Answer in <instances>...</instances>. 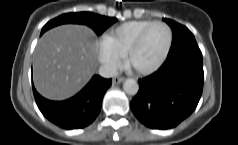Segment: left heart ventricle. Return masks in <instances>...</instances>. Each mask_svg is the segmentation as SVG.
<instances>
[{
  "mask_svg": "<svg viewBox=\"0 0 238 145\" xmlns=\"http://www.w3.org/2000/svg\"><path fill=\"white\" fill-rule=\"evenodd\" d=\"M168 41V31L162 25L153 26L146 34L140 48L133 54L131 65L145 68L154 64L162 55Z\"/></svg>",
  "mask_w": 238,
  "mask_h": 145,
  "instance_id": "obj_1",
  "label": "left heart ventricle"
}]
</instances>
